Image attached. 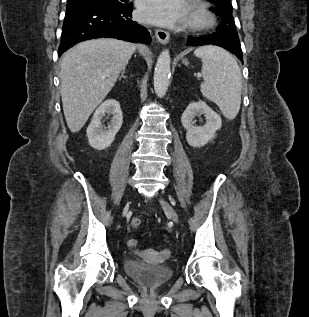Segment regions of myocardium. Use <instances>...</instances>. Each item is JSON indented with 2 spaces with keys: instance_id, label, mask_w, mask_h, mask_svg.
<instances>
[{
  "instance_id": "1",
  "label": "myocardium",
  "mask_w": 309,
  "mask_h": 317,
  "mask_svg": "<svg viewBox=\"0 0 309 317\" xmlns=\"http://www.w3.org/2000/svg\"><path fill=\"white\" fill-rule=\"evenodd\" d=\"M215 23L216 17L209 6L200 0H193L186 29L191 32H202L211 29Z\"/></svg>"
}]
</instances>
